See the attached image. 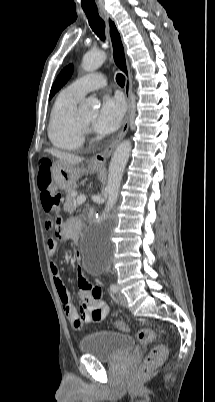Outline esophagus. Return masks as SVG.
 <instances>
[{
  "instance_id": "obj_1",
  "label": "esophagus",
  "mask_w": 215,
  "mask_h": 402,
  "mask_svg": "<svg viewBox=\"0 0 215 402\" xmlns=\"http://www.w3.org/2000/svg\"><path fill=\"white\" fill-rule=\"evenodd\" d=\"M99 12L107 25L114 64L125 77L124 91L128 108H127V114L123 121L121 131L116 137V139L106 149H104L101 153L96 154L91 159L90 164L95 167H103L105 165L106 160L111 156L118 143L126 135L129 128V119L131 114V94H132L131 74L127 62L126 48L122 40V35L113 17L104 9H101Z\"/></svg>"
}]
</instances>
